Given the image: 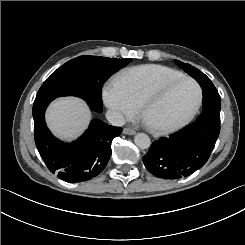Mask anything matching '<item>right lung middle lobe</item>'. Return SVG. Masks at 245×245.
Here are the masks:
<instances>
[{
  "instance_id": "obj_1",
  "label": "right lung middle lobe",
  "mask_w": 245,
  "mask_h": 245,
  "mask_svg": "<svg viewBox=\"0 0 245 245\" xmlns=\"http://www.w3.org/2000/svg\"><path fill=\"white\" fill-rule=\"evenodd\" d=\"M130 61V58L121 60L100 56L74 58L48 77L34 102L73 95L84 99L92 110L102 112L103 83Z\"/></svg>"
}]
</instances>
